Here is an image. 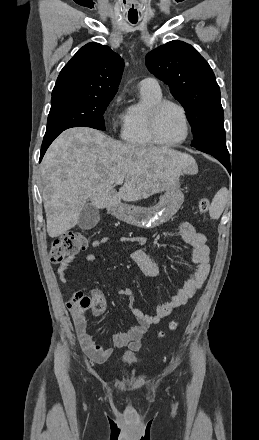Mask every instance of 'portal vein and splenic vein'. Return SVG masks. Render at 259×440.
<instances>
[{
	"label": "portal vein and splenic vein",
	"instance_id": "18ae733b",
	"mask_svg": "<svg viewBox=\"0 0 259 440\" xmlns=\"http://www.w3.org/2000/svg\"><path fill=\"white\" fill-rule=\"evenodd\" d=\"M123 181H124V177L123 176H119V177H117L115 183L117 185H121L123 183Z\"/></svg>",
	"mask_w": 259,
	"mask_h": 440
}]
</instances>
